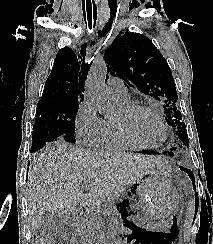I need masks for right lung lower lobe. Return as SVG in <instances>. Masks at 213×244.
Segmentation results:
<instances>
[{
	"label": "right lung lower lobe",
	"mask_w": 213,
	"mask_h": 244,
	"mask_svg": "<svg viewBox=\"0 0 213 244\" xmlns=\"http://www.w3.org/2000/svg\"><path fill=\"white\" fill-rule=\"evenodd\" d=\"M56 140H58V139H56ZM56 140H53V141H56ZM52 142V141H51ZM41 149V148H40ZM39 150V149H38ZM35 151H37V150H31V152H35Z\"/></svg>",
	"instance_id": "1"
}]
</instances>
